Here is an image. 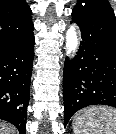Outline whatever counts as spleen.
Listing matches in <instances>:
<instances>
[{
	"instance_id": "obj_1",
	"label": "spleen",
	"mask_w": 116,
	"mask_h": 134,
	"mask_svg": "<svg viewBox=\"0 0 116 134\" xmlns=\"http://www.w3.org/2000/svg\"><path fill=\"white\" fill-rule=\"evenodd\" d=\"M74 134H116V110L105 106H91L73 118Z\"/></svg>"
}]
</instances>
